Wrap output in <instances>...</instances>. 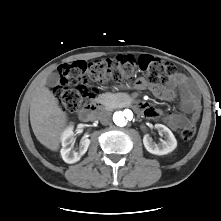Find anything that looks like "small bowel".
I'll list each match as a JSON object with an SVG mask.
<instances>
[{"mask_svg":"<svg viewBox=\"0 0 221 221\" xmlns=\"http://www.w3.org/2000/svg\"><path fill=\"white\" fill-rule=\"evenodd\" d=\"M137 85L142 87L145 83L140 80L137 82ZM177 89L181 95L179 108L182 113H172L164 117V120L173 130H179L191 122H197L200 113V99L198 94L192 87L188 77L183 74L172 77L168 85L164 87H151L153 94L161 100L173 99ZM141 109L150 118H157L162 115L160 111L146 104H142Z\"/></svg>","mask_w":221,"mask_h":221,"instance_id":"small-bowel-1","label":"small bowel"}]
</instances>
